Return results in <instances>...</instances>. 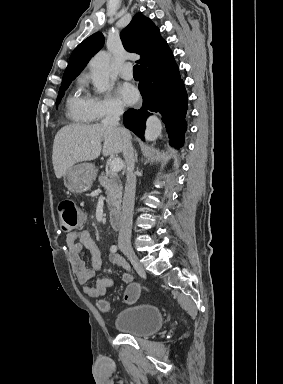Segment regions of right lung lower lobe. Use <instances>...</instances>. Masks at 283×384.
Here are the masks:
<instances>
[{"mask_svg":"<svg viewBox=\"0 0 283 384\" xmlns=\"http://www.w3.org/2000/svg\"><path fill=\"white\" fill-rule=\"evenodd\" d=\"M138 88L143 104L140 109L131 108L124 113L125 127L144 140L146 119L153 115L152 112L159 113L171 140L170 145L183 146L187 127V93L175 61L163 70L141 75Z\"/></svg>","mask_w":283,"mask_h":384,"instance_id":"98d812e1","label":"right lung lower lobe"}]
</instances>
